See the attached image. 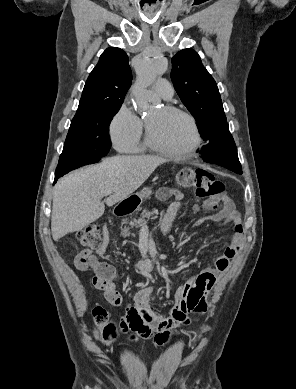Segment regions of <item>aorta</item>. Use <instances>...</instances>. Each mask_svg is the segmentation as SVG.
<instances>
[{"mask_svg": "<svg viewBox=\"0 0 296 389\" xmlns=\"http://www.w3.org/2000/svg\"><path fill=\"white\" fill-rule=\"evenodd\" d=\"M168 68L167 58L160 52L150 53L137 69V80L133 89V99L139 111H145L154 103L149 87Z\"/></svg>", "mask_w": 296, "mask_h": 389, "instance_id": "1", "label": "aorta"}]
</instances>
